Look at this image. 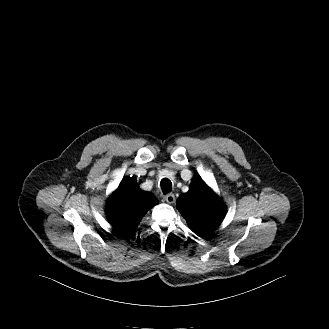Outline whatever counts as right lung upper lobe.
Wrapping results in <instances>:
<instances>
[{
    "instance_id": "obj_1",
    "label": "right lung upper lobe",
    "mask_w": 329,
    "mask_h": 329,
    "mask_svg": "<svg viewBox=\"0 0 329 329\" xmlns=\"http://www.w3.org/2000/svg\"><path fill=\"white\" fill-rule=\"evenodd\" d=\"M158 204L156 197L139 189L135 178L122 180L106 205V214L115 231L131 235L145 213Z\"/></svg>"
}]
</instances>
